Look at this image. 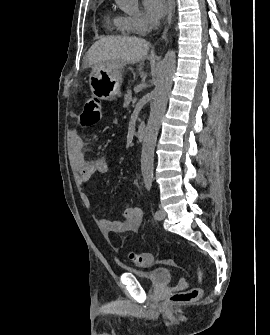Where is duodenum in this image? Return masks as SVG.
Segmentation results:
<instances>
[{
	"instance_id": "410a0bca",
	"label": "duodenum",
	"mask_w": 270,
	"mask_h": 335,
	"mask_svg": "<svg viewBox=\"0 0 270 335\" xmlns=\"http://www.w3.org/2000/svg\"><path fill=\"white\" fill-rule=\"evenodd\" d=\"M136 138L139 140V141H143L144 140V137H145V125L144 124H139L137 129H136Z\"/></svg>"
}]
</instances>
